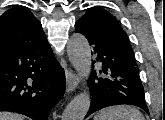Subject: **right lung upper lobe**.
<instances>
[{"label":"right lung upper lobe","instance_id":"cb5924a9","mask_svg":"<svg viewBox=\"0 0 165 120\" xmlns=\"http://www.w3.org/2000/svg\"><path fill=\"white\" fill-rule=\"evenodd\" d=\"M44 37L40 21L24 7H14L0 17V53Z\"/></svg>","mask_w":165,"mask_h":120}]
</instances>
